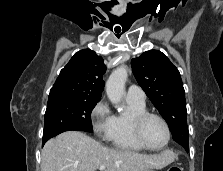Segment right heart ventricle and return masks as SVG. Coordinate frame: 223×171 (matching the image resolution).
<instances>
[{"instance_id":"right-heart-ventricle-1","label":"right heart ventricle","mask_w":223,"mask_h":171,"mask_svg":"<svg viewBox=\"0 0 223 171\" xmlns=\"http://www.w3.org/2000/svg\"><path fill=\"white\" fill-rule=\"evenodd\" d=\"M129 105V112L127 114L113 115L112 126L107 141L115 148L129 151L141 152L143 148L134 138L131 119L134 115L147 111L145 103H139L127 99Z\"/></svg>"}]
</instances>
